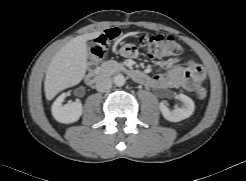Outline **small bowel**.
I'll return each mask as SVG.
<instances>
[{"label": "small bowel", "instance_id": "obj_1", "mask_svg": "<svg viewBox=\"0 0 246 181\" xmlns=\"http://www.w3.org/2000/svg\"><path fill=\"white\" fill-rule=\"evenodd\" d=\"M119 52L125 58H136L138 56L137 49L131 44L122 46ZM180 61V57H171L160 61L159 65L168 71L163 74L147 76L148 80L145 84L158 89L184 88L192 91L204 80L205 73L202 70L200 74H196L190 68L192 62L182 65Z\"/></svg>", "mask_w": 246, "mask_h": 181}]
</instances>
